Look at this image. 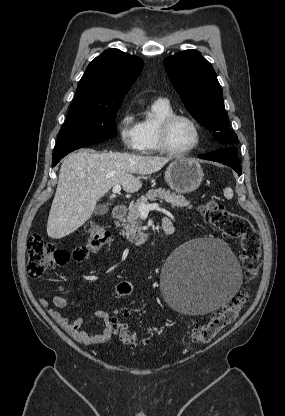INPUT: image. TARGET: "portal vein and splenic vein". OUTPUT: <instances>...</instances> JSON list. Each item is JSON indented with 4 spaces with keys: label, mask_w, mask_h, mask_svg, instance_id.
I'll return each mask as SVG.
<instances>
[{
    "label": "portal vein and splenic vein",
    "mask_w": 285,
    "mask_h": 416,
    "mask_svg": "<svg viewBox=\"0 0 285 416\" xmlns=\"http://www.w3.org/2000/svg\"><path fill=\"white\" fill-rule=\"evenodd\" d=\"M112 192L113 194H120L121 186H114ZM150 210H159V204H141V206H139V212L142 216L149 214Z\"/></svg>",
    "instance_id": "portal-vein-and-splenic-vein-1"
}]
</instances>
